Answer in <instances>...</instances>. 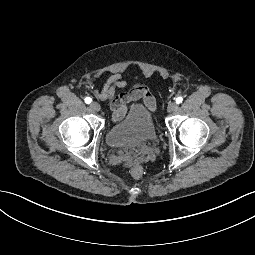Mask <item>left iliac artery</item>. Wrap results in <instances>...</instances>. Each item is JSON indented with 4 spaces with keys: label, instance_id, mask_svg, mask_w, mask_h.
Segmentation results:
<instances>
[{
    "label": "left iliac artery",
    "instance_id": "obj_1",
    "mask_svg": "<svg viewBox=\"0 0 255 255\" xmlns=\"http://www.w3.org/2000/svg\"><path fill=\"white\" fill-rule=\"evenodd\" d=\"M183 101V98L182 97H178L177 99H176V103H181Z\"/></svg>",
    "mask_w": 255,
    "mask_h": 255
}]
</instances>
